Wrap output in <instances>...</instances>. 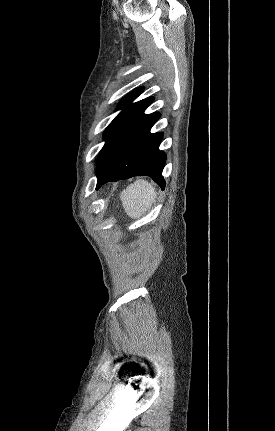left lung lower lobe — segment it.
Instances as JSON below:
<instances>
[{
  "label": "left lung lower lobe",
  "instance_id": "obj_1",
  "mask_svg": "<svg viewBox=\"0 0 275 431\" xmlns=\"http://www.w3.org/2000/svg\"><path fill=\"white\" fill-rule=\"evenodd\" d=\"M159 118L160 114L119 152L104 172L97 174L96 189L108 181H118L133 176H150L164 189L162 171L166 155L159 151L162 134L150 133V129Z\"/></svg>",
  "mask_w": 275,
  "mask_h": 431
}]
</instances>
